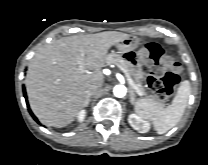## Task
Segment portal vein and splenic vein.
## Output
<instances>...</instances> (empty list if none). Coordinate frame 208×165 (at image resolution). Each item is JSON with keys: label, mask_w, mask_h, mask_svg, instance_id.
<instances>
[{"label": "portal vein and splenic vein", "mask_w": 208, "mask_h": 165, "mask_svg": "<svg viewBox=\"0 0 208 165\" xmlns=\"http://www.w3.org/2000/svg\"><path fill=\"white\" fill-rule=\"evenodd\" d=\"M118 67H119V69L126 75L128 83H129L132 87H134V86H133V85H134V84H133V81H132V79L128 76V74L126 73L125 68L122 67V66H118ZM134 89H135L136 92L139 94L138 90H137L136 88H134Z\"/></svg>", "instance_id": "18ae733b"}]
</instances>
